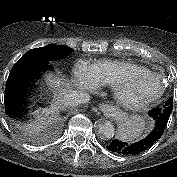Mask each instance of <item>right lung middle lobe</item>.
Returning a JSON list of instances; mask_svg holds the SVG:
<instances>
[{
  "label": "right lung middle lobe",
  "mask_w": 177,
  "mask_h": 177,
  "mask_svg": "<svg viewBox=\"0 0 177 177\" xmlns=\"http://www.w3.org/2000/svg\"><path fill=\"white\" fill-rule=\"evenodd\" d=\"M74 50L63 45L49 44L46 47L28 51L25 56H38L49 60L60 59L70 55Z\"/></svg>",
  "instance_id": "dd1d6c3e"
}]
</instances>
